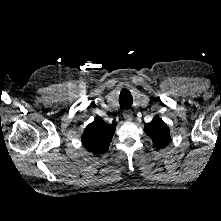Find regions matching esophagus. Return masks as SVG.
I'll list each match as a JSON object with an SVG mask.
<instances>
[{
	"label": "esophagus",
	"mask_w": 221,
	"mask_h": 221,
	"mask_svg": "<svg viewBox=\"0 0 221 221\" xmlns=\"http://www.w3.org/2000/svg\"><path fill=\"white\" fill-rule=\"evenodd\" d=\"M123 117L127 121H131L133 119V112L130 109H125L123 111Z\"/></svg>",
	"instance_id": "obj_1"
}]
</instances>
